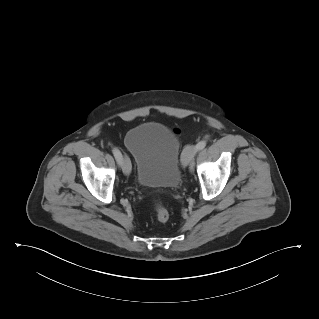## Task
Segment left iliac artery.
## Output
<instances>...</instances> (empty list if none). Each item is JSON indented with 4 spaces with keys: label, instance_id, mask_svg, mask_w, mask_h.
Wrapping results in <instances>:
<instances>
[{
    "label": "left iliac artery",
    "instance_id": "left-iliac-artery-1",
    "mask_svg": "<svg viewBox=\"0 0 319 319\" xmlns=\"http://www.w3.org/2000/svg\"><path fill=\"white\" fill-rule=\"evenodd\" d=\"M205 146H206V141H204V140L200 141V142L196 145L197 151H200V150L204 149ZM193 166H194V163H191L190 169H193Z\"/></svg>",
    "mask_w": 319,
    "mask_h": 319
}]
</instances>
